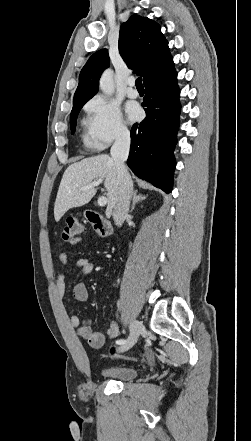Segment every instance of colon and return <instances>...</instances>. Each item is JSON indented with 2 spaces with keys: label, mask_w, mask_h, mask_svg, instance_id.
Returning <instances> with one entry per match:
<instances>
[{
  "label": "colon",
  "mask_w": 251,
  "mask_h": 441,
  "mask_svg": "<svg viewBox=\"0 0 251 441\" xmlns=\"http://www.w3.org/2000/svg\"><path fill=\"white\" fill-rule=\"evenodd\" d=\"M83 230V224L77 218L69 217L62 227L61 237L65 241H71L81 235ZM115 349L116 347L113 343L109 349L110 355L115 356Z\"/></svg>",
  "instance_id": "5ec220e1"
}]
</instances>
